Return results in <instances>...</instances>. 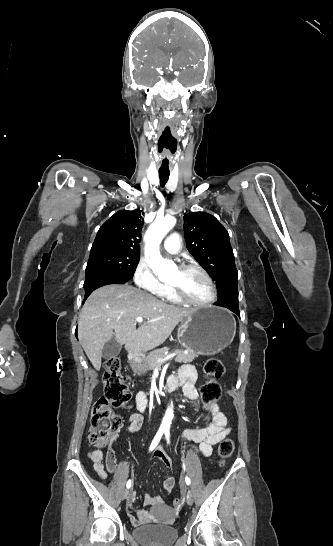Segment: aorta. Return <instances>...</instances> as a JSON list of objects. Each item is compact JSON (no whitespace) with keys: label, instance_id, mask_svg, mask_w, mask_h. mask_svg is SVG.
<instances>
[{"label":"aorta","instance_id":"762f6f07","mask_svg":"<svg viewBox=\"0 0 333 546\" xmlns=\"http://www.w3.org/2000/svg\"><path fill=\"white\" fill-rule=\"evenodd\" d=\"M176 219L172 216L156 218L145 234L147 264L153 273L162 281L174 275L177 271L175 263L162 258L159 245L164 236L174 227ZM173 409L169 408L164 416L162 426L169 427L173 418Z\"/></svg>","mask_w":333,"mask_h":546}]
</instances>
